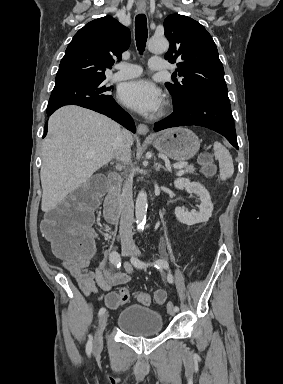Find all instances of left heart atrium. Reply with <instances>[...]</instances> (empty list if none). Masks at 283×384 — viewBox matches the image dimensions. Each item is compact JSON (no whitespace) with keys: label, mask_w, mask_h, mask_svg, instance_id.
Returning a JSON list of instances; mask_svg holds the SVG:
<instances>
[{"label":"left heart atrium","mask_w":283,"mask_h":384,"mask_svg":"<svg viewBox=\"0 0 283 384\" xmlns=\"http://www.w3.org/2000/svg\"><path fill=\"white\" fill-rule=\"evenodd\" d=\"M118 98L123 104L141 114H154L162 104L160 90L145 79L124 84Z\"/></svg>","instance_id":"obj_1"}]
</instances>
